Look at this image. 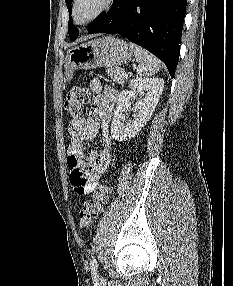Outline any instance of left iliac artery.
Returning a JSON list of instances; mask_svg holds the SVG:
<instances>
[{
	"instance_id": "obj_1",
	"label": "left iliac artery",
	"mask_w": 233,
	"mask_h": 286,
	"mask_svg": "<svg viewBox=\"0 0 233 286\" xmlns=\"http://www.w3.org/2000/svg\"><path fill=\"white\" fill-rule=\"evenodd\" d=\"M97 268H98L97 260H96V257L94 256L91 260V273L94 279H98Z\"/></svg>"
}]
</instances>
